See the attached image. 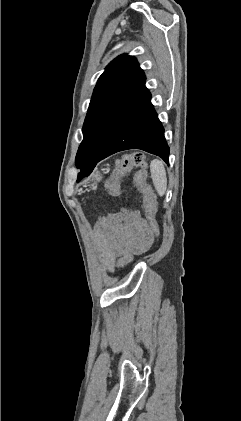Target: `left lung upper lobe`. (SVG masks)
I'll list each match as a JSON object with an SVG mask.
<instances>
[{"label":"left lung upper lobe","instance_id":"1","mask_svg":"<svg viewBox=\"0 0 241 421\" xmlns=\"http://www.w3.org/2000/svg\"><path fill=\"white\" fill-rule=\"evenodd\" d=\"M143 76V70L132 56L121 55L106 67L98 79L84 121V138L75 159L77 168L95 162L102 154Z\"/></svg>","mask_w":241,"mask_h":421}]
</instances>
